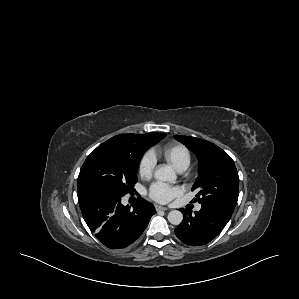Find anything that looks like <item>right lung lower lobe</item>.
Returning <instances> with one entry per match:
<instances>
[{"mask_svg":"<svg viewBox=\"0 0 299 299\" xmlns=\"http://www.w3.org/2000/svg\"><path fill=\"white\" fill-rule=\"evenodd\" d=\"M123 196L86 187L78 191L83 218L97 239L110 249H123L134 243L156 213L151 203L138 198L133 206L121 203Z\"/></svg>","mask_w":299,"mask_h":299,"instance_id":"right-lung-lower-lobe-1","label":"right lung lower lobe"}]
</instances>
